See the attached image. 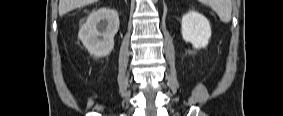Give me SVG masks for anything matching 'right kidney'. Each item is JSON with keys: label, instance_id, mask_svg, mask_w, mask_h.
<instances>
[{"label": "right kidney", "instance_id": "obj_1", "mask_svg": "<svg viewBox=\"0 0 283 116\" xmlns=\"http://www.w3.org/2000/svg\"><path fill=\"white\" fill-rule=\"evenodd\" d=\"M119 30L117 11L100 8L92 12L80 28L78 37L94 57H105L114 47V36Z\"/></svg>", "mask_w": 283, "mask_h": 116}]
</instances>
